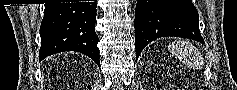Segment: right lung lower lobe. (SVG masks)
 <instances>
[{
    "label": "right lung lower lobe",
    "instance_id": "obj_1",
    "mask_svg": "<svg viewBox=\"0 0 237 90\" xmlns=\"http://www.w3.org/2000/svg\"><path fill=\"white\" fill-rule=\"evenodd\" d=\"M96 7V2L46 4L40 27L39 60L63 51H78L100 66Z\"/></svg>",
    "mask_w": 237,
    "mask_h": 90
}]
</instances>
